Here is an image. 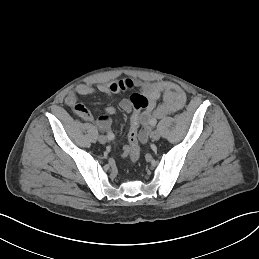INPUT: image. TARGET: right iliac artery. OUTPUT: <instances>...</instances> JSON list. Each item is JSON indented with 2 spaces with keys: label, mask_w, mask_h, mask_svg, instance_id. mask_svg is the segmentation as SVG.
I'll return each mask as SVG.
<instances>
[{
  "label": "right iliac artery",
  "mask_w": 259,
  "mask_h": 259,
  "mask_svg": "<svg viewBox=\"0 0 259 259\" xmlns=\"http://www.w3.org/2000/svg\"><path fill=\"white\" fill-rule=\"evenodd\" d=\"M107 138L108 140H113L115 138V135L113 133H108Z\"/></svg>",
  "instance_id": "right-iliac-artery-1"
}]
</instances>
